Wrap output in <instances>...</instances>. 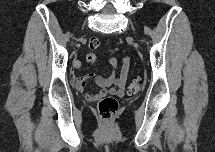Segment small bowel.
I'll list each match as a JSON object with an SVG mask.
<instances>
[{"label":"small bowel","mask_w":215,"mask_h":152,"mask_svg":"<svg viewBox=\"0 0 215 152\" xmlns=\"http://www.w3.org/2000/svg\"><path fill=\"white\" fill-rule=\"evenodd\" d=\"M111 67L117 72V75H111L107 78L101 77L96 73H88L81 77H75L73 80L74 87L83 93L87 100L97 101L101 97L111 94L122 96L127 81L128 71L130 68V58L125 56L121 63L115 58L109 60ZM89 82H93L98 87V92H86V86Z\"/></svg>","instance_id":"1"}]
</instances>
